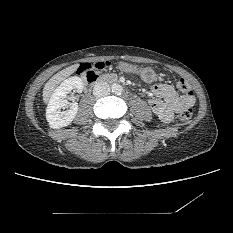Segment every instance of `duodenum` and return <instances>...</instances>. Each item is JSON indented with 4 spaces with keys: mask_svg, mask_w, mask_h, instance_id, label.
Segmentation results:
<instances>
[{
    "mask_svg": "<svg viewBox=\"0 0 233 233\" xmlns=\"http://www.w3.org/2000/svg\"><path fill=\"white\" fill-rule=\"evenodd\" d=\"M84 80L89 84V85H94L98 82H106V83H117L118 79L113 77V76H99L97 74L93 75L92 77H84Z\"/></svg>",
    "mask_w": 233,
    "mask_h": 233,
    "instance_id": "obj_1",
    "label": "duodenum"
}]
</instances>
